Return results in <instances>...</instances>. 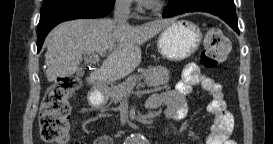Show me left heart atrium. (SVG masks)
I'll return each instance as SVG.
<instances>
[{
	"label": "left heart atrium",
	"instance_id": "left-heart-atrium-1",
	"mask_svg": "<svg viewBox=\"0 0 273 144\" xmlns=\"http://www.w3.org/2000/svg\"><path fill=\"white\" fill-rule=\"evenodd\" d=\"M140 2L147 7H152L155 5L156 0H140Z\"/></svg>",
	"mask_w": 273,
	"mask_h": 144
}]
</instances>
